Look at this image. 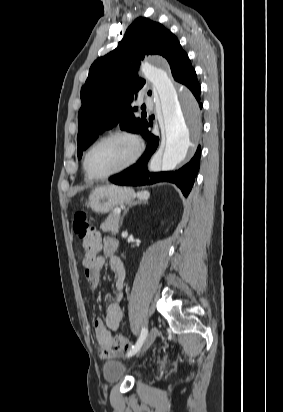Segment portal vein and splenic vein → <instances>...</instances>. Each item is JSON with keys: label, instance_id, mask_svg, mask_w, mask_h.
I'll return each instance as SVG.
<instances>
[{"label": "portal vein and splenic vein", "instance_id": "obj_1", "mask_svg": "<svg viewBox=\"0 0 283 412\" xmlns=\"http://www.w3.org/2000/svg\"><path fill=\"white\" fill-rule=\"evenodd\" d=\"M114 211H115V213H117V214H120V212H121V210H120L119 208H116Z\"/></svg>", "mask_w": 283, "mask_h": 412}]
</instances>
